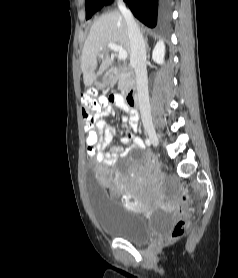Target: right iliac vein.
<instances>
[{"mask_svg": "<svg viewBox=\"0 0 238 278\" xmlns=\"http://www.w3.org/2000/svg\"><path fill=\"white\" fill-rule=\"evenodd\" d=\"M145 131L146 134L148 135V138L150 140V142L154 145V146H158L159 144V138L156 134L155 129L152 126H146L145 127Z\"/></svg>", "mask_w": 238, "mask_h": 278, "instance_id": "right-iliac-vein-1", "label": "right iliac vein"}]
</instances>
